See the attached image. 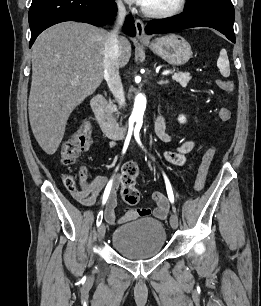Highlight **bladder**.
Instances as JSON below:
<instances>
[{
  "instance_id": "bladder-1",
  "label": "bladder",
  "mask_w": 261,
  "mask_h": 306,
  "mask_svg": "<svg viewBox=\"0 0 261 306\" xmlns=\"http://www.w3.org/2000/svg\"><path fill=\"white\" fill-rule=\"evenodd\" d=\"M166 243V230L162 222L153 218H141L117 227L112 234L111 245L121 256L140 260L158 255Z\"/></svg>"
}]
</instances>
